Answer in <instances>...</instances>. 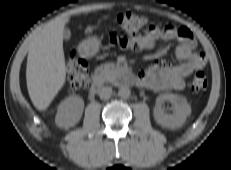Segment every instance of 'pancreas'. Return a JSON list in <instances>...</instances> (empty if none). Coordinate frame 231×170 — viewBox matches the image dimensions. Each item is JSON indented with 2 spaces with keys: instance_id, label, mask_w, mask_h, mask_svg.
I'll return each instance as SVG.
<instances>
[{
  "instance_id": "cf45deb5",
  "label": "pancreas",
  "mask_w": 231,
  "mask_h": 170,
  "mask_svg": "<svg viewBox=\"0 0 231 170\" xmlns=\"http://www.w3.org/2000/svg\"><path fill=\"white\" fill-rule=\"evenodd\" d=\"M118 69L114 63H107L98 66L94 73V78H99L103 80L112 79L115 76V72Z\"/></svg>"
}]
</instances>
